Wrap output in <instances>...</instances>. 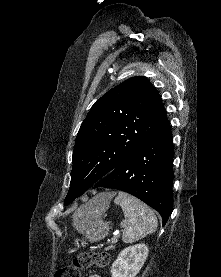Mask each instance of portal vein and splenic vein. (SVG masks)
Masks as SVG:
<instances>
[{"mask_svg":"<svg viewBox=\"0 0 221 277\" xmlns=\"http://www.w3.org/2000/svg\"><path fill=\"white\" fill-rule=\"evenodd\" d=\"M119 233H120V232H115V233H114V236H113V238H112V240H111V243H114V242L117 241V238H118ZM109 247H110V246H109Z\"/></svg>","mask_w":221,"mask_h":277,"instance_id":"18ae733b","label":"portal vein and splenic vein"}]
</instances>
